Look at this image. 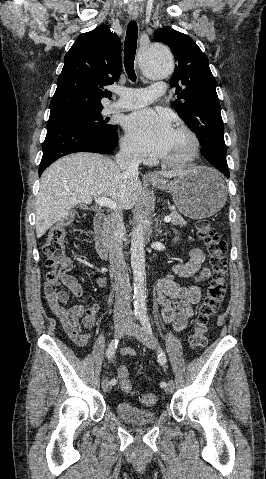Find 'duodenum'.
<instances>
[{
	"label": "duodenum",
	"instance_id": "1",
	"mask_svg": "<svg viewBox=\"0 0 266 479\" xmlns=\"http://www.w3.org/2000/svg\"><path fill=\"white\" fill-rule=\"evenodd\" d=\"M106 214L99 212L94 218V239L98 255L101 259L107 260L109 257V244L106 227L108 224Z\"/></svg>",
	"mask_w": 266,
	"mask_h": 479
}]
</instances>
